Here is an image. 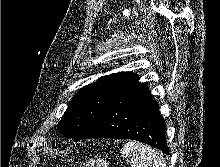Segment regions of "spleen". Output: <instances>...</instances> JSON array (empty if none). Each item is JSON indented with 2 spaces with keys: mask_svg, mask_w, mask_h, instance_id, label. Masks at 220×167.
I'll return each instance as SVG.
<instances>
[{
  "mask_svg": "<svg viewBox=\"0 0 220 167\" xmlns=\"http://www.w3.org/2000/svg\"><path fill=\"white\" fill-rule=\"evenodd\" d=\"M121 154L132 167H166V161L159 151L134 141L127 142Z\"/></svg>",
  "mask_w": 220,
  "mask_h": 167,
  "instance_id": "3e777b00",
  "label": "spleen"
}]
</instances>
